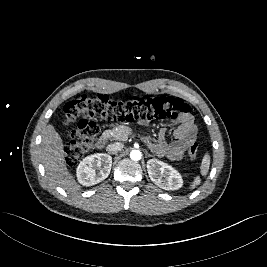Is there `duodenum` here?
<instances>
[{
    "mask_svg": "<svg viewBox=\"0 0 267 267\" xmlns=\"http://www.w3.org/2000/svg\"><path fill=\"white\" fill-rule=\"evenodd\" d=\"M107 144V137L106 136H101L98 141H97V148L98 149H103Z\"/></svg>",
    "mask_w": 267,
    "mask_h": 267,
    "instance_id": "duodenum-1",
    "label": "duodenum"
}]
</instances>
